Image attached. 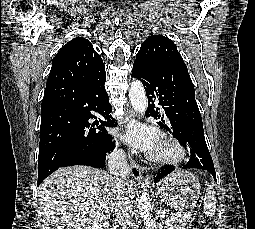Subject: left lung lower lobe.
<instances>
[{
  "label": "left lung lower lobe",
  "instance_id": "0a47b994",
  "mask_svg": "<svg viewBox=\"0 0 255 229\" xmlns=\"http://www.w3.org/2000/svg\"><path fill=\"white\" fill-rule=\"evenodd\" d=\"M132 74L142 82L148 97V115L160 119L158 125L171 131L180 143L190 148L191 158L183 169H202L216 180L215 168L203 130L202 118L195 100V90L188 73L173 66H144L134 62ZM162 105L165 116L158 113L155 101ZM166 121H165V119ZM174 170L162 168L155 181Z\"/></svg>",
  "mask_w": 255,
  "mask_h": 229
}]
</instances>
